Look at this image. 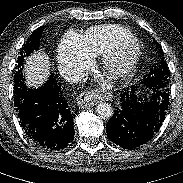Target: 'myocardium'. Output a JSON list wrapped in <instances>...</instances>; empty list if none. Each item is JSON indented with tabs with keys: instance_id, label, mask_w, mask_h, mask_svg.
Wrapping results in <instances>:
<instances>
[{
	"instance_id": "f54148a6",
	"label": "myocardium",
	"mask_w": 183,
	"mask_h": 183,
	"mask_svg": "<svg viewBox=\"0 0 183 183\" xmlns=\"http://www.w3.org/2000/svg\"><path fill=\"white\" fill-rule=\"evenodd\" d=\"M141 52L142 46L137 39L124 41L103 55L101 70L110 79L123 78L132 72Z\"/></svg>"
}]
</instances>
